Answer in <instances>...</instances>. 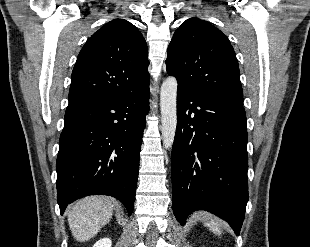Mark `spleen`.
I'll use <instances>...</instances> for the list:
<instances>
[{"instance_id": "3e777b00", "label": "spleen", "mask_w": 310, "mask_h": 247, "mask_svg": "<svg viewBox=\"0 0 310 247\" xmlns=\"http://www.w3.org/2000/svg\"><path fill=\"white\" fill-rule=\"evenodd\" d=\"M205 226L209 227V229L215 233V234H218L220 235L222 233L220 227H219V224L216 220H212L210 222H207L205 223Z\"/></svg>"}]
</instances>
